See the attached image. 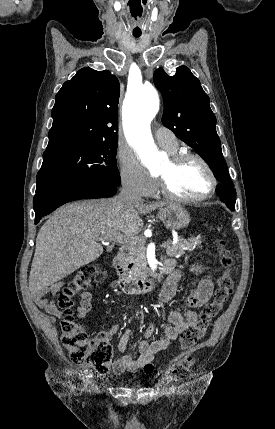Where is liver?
I'll list each match as a JSON object with an SVG mask.
<instances>
[{"mask_svg": "<svg viewBox=\"0 0 275 429\" xmlns=\"http://www.w3.org/2000/svg\"><path fill=\"white\" fill-rule=\"evenodd\" d=\"M172 205L144 204L141 200L125 205L118 197L67 204L44 223L36 238L29 276L30 291L44 294L49 286L95 261L102 242L116 234L137 235L143 227L139 214Z\"/></svg>", "mask_w": 275, "mask_h": 429, "instance_id": "liver-1", "label": "liver"}]
</instances>
